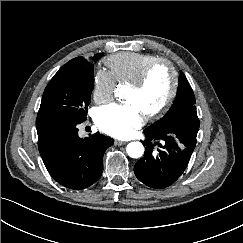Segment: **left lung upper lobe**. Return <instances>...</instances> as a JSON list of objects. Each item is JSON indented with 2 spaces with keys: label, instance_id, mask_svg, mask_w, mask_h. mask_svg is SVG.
Returning a JSON list of instances; mask_svg holds the SVG:
<instances>
[{
  "label": "left lung upper lobe",
  "instance_id": "left-lung-upper-lobe-1",
  "mask_svg": "<svg viewBox=\"0 0 243 243\" xmlns=\"http://www.w3.org/2000/svg\"><path fill=\"white\" fill-rule=\"evenodd\" d=\"M179 124L191 125L194 128L195 136H197L199 119L195 108V97L187 78L182 72L179 76L176 100L172 107L160 120L145 130L158 132L173 129Z\"/></svg>",
  "mask_w": 243,
  "mask_h": 243
}]
</instances>
